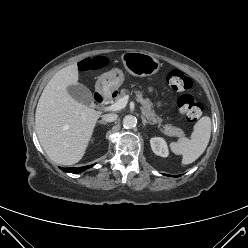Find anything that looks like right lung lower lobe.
<instances>
[{
    "mask_svg": "<svg viewBox=\"0 0 248 248\" xmlns=\"http://www.w3.org/2000/svg\"><path fill=\"white\" fill-rule=\"evenodd\" d=\"M93 165H89V166H85V167H81V168H61L64 172H70V173H79L82 172L90 167H92Z\"/></svg>",
    "mask_w": 248,
    "mask_h": 248,
    "instance_id": "right-lung-lower-lobe-1",
    "label": "right lung lower lobe"
}]
</instances>
